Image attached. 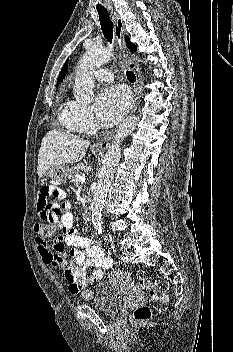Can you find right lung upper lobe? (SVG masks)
I'll return each instance as SVG.
<instances>
[{
  "instance_id": "cb5924a9",
  "label": "right lung upper lobe",
  "mask_w": 233,
  "mask_h": 352,
  "mask_svg": "<svg viewBox=\"0 0 233 352\" xmlns=\"http://www.w3.org/2000/svg\"><path fill=\"white\" fill-rule=\"evenodd\" d=\"M68 60L65 62V64L62 67V70L59 74V77L57 79V85L60 84V82L63 80V78L65 77V75L67 74L68 71V65H67Z\"/></svg>"
}]
</instances>
